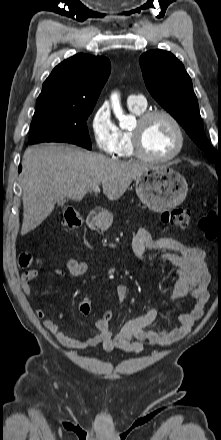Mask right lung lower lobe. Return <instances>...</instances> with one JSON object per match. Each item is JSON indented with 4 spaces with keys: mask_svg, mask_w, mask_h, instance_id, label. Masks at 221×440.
<instances>
[{
    "mask_svg": "<svg viewBox=\"0 0 221 440\" xmlns=\"http://www.w3.org/2000/svg\"><path fill=\"white\" fill-rule=\"evenodd\" d=\"M21 170H22V166L20 165L18 171L20 172Z\"/></svg>",
    "mask_w": 221,
    "mask_h": 440,
    "instance_id": "right-lung-lower-lobe-1",
    "label": "right lung lower lobe"
}]
</instances>
